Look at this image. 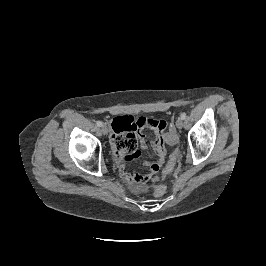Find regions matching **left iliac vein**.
Here are the masks:
<instances>
[{"label":"left iliac vein","mask_w":266,"mask_h":266,"mask_svg":"<svg viewBox=\"0 0 266 266\" xmlns=\"http://www.w3.org/2000/svg\"><path fill=\"white\" fill-rule=\"evenodd\" d=\"M183 125H184L183 119H181V118L177 119V121H176V127L178 129H181L183 127Z\"/></svg>","instance_id":"4c4485c4"}]
</instances>
